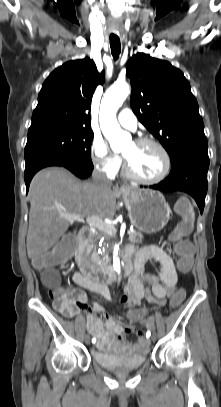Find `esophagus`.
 <instances>
[{"mask_svg": "<svg viewBox=\"0 0 221 407\" xmlns=\"http://www.w3.org/2000/svg\"><path fill=\"white\" fill-rule=\"evenodd\" d=\"M119 191H120V192H126L127 189H126L124 186H121V187L119 188Z\"/></svg>", "mask_w": 221, "mask_h": 407, "instance_id": "1", "label": "esophagus"}]
</instances>
